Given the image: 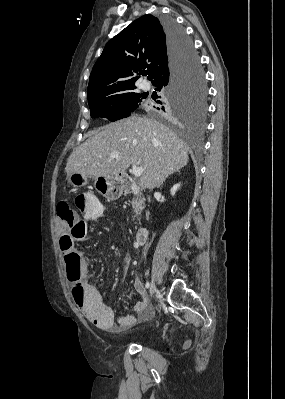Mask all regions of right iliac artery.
I'll use <instances>...</instances> for the list:
<instances>
[{"label": "right iliac artery", "mask_w": 285, "mask_h": 399, "mask_svg": "<svg viewBox=\"0 0 285 399\" xmlns=\"http://www.w3.org/2000/svg\"><path fill=\"white\" fill-rule=\"evenodd\" d=\"M145 287L148 289L150 287V283L147 281Z\"/></svg>", "instance_id": "82829eb1"}]
</instances>
